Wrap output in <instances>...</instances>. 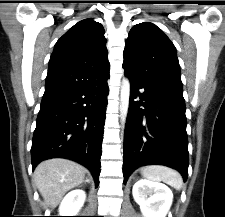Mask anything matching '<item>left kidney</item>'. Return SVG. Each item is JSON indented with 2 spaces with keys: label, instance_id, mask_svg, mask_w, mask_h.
<instances>
[{
  "label": "left kidney",
  "instance_id": "left-kidney-1",
  "mask_svg": "<svg viewBox=\"0 0 225 217\" xmlns=\"http://www.w3.org/2000/svg\"><path fill=\"white\" fill-rule=\"evenodd\" d=\"M132 194L144 217H165L173 200L168 186L145 179L134 184Z\"/></svg>",
  "mask_w": 225,
  "mask_h": 217
}]
</instances>
